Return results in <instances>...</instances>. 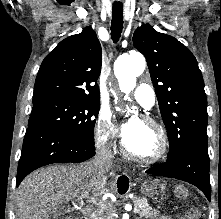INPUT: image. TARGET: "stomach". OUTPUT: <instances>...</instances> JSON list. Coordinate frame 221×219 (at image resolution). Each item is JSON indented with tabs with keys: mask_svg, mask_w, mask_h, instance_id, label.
Wrapping results in <instances>:
<instances>
[{
	"mask_svg": "<svg viewBox=\"0 0 221 219\" xmlns=\"http://www.w3.org/2000/svg\"><path fill=\"white\" fill-rule=\"evenodd\" d=\"M166 183H174V178H146L143 189L153 199H172V194H165Z\"/></svg>",
	"mask_w": 221,
	"mask_h": 219,
	"instance_id": "0dacf381",
	"label": "stomach"
}]
</instances>
